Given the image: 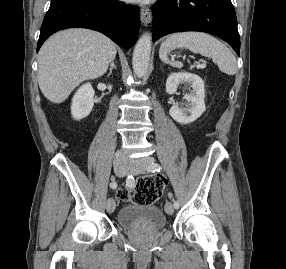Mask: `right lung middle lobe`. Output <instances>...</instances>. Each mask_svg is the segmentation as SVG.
<instances>
[{
  "label": "right lung middle lobe",
  "mask_w": 286,
  "mask_h": 269,
  "mask_svg": "<svg viewBox=\"0 0 286 269\" xmlns=\"http://www.w3.org/2000/svg\"><path fill=\"white\" fill-rule=\"evenodd\" d=\"M60 0H51V3H55V2H58Z\"/></svg>",
  "instance_id": "dd1d6c3e"
}]
</instances>
